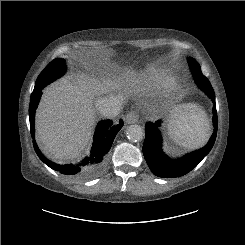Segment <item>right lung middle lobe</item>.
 <instances>
[{
    "instance_id": "obj_1",
    "label": "right lung middle lobe",
    "mask_w": 245,
    "mask_h": 245,
    "mask_svg": "<svg viewBox=\"0 0 245 245\" xmlns=\"http://www.w3.org/2000/svg\"><path fill=\"white\" fill-rule=\"evenodd\" d=\"M67 70V66L64 59H55L52 61L39 75L35 88H43L50 82L62 76Z\"/></svg>"
}]
</instances>
